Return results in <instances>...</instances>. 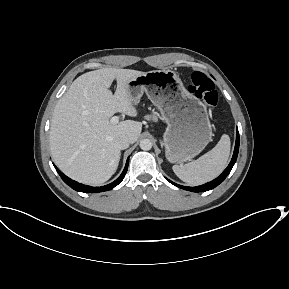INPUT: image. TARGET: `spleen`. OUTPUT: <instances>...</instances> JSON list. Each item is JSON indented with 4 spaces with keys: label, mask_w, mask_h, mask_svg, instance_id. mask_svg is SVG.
Listing matches in <instances>:
<instances>
[{
    "label": "spleen",
    "mask_w": 289,
    "mask_h": 289,
    "mask_svg": "<svg viewBox=\"0 0 289 289\" xmlns=\"http://www.w3.org/2000/svg\"><path fill=\"white\" fill-rule=\"evenodd\" d=\"M230 138L223 134L217 145L185 165H173L176 176L189 185H201L216 178L226 167L230 154Z\"/></svg>",
    "instance_id": "3e777b00"
}]
</instances>
